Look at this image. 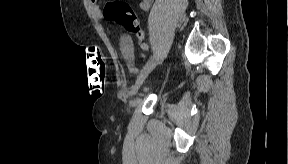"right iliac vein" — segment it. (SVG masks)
<instances>
[{"mask_svg": "<svg viewBox=\"0 0 288 164\" xmlns=\"http://www.w3.org/2000/svg\"><path fill=\"white\" fill-rule=\"evenodd\" d=\"M157 61H158V55L156 54L148 60V62L144 66L143 70L141 71L135 85L133 86V88L131 90V97H130V100L128 103V110L129 111L135 105L134 96L137 94L139 88L141 87L144 80L146 79V77L148 76V74L150 73V71L152 70V68L154 67V65L156 64Z\"/></svg>", "mask_w": 288, "mask_h": 164, "instance_id": "obj_1", "label": "right iliac vein"}]
</instances>
